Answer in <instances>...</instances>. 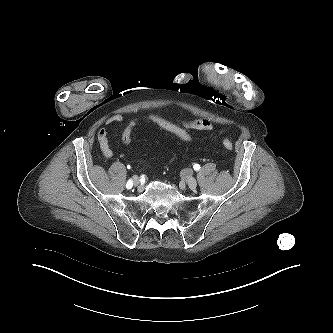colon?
<instances>
[{
    "label": "colon",
    "instance_id": "obj_1",
    "mask_svg": "<svg viewBox=\"0 0 333 333\" xmlns=\"http://www.w3.org/2000/svg\"><path fill=\"white\" fill-rule=\"evenodd\" d=\"M142 123H152L160 128L176 135L179 137L181 140L190 142L192 141L191 135L180 125L175 124L164 117L157 115V114H144L137 116L135 118H132L129 120L126 124V126L123 129L122 132V141L125 144H130L133 138V133L136 127ZM223 145L226 149L232 150L233 149V144L230 140L224 139L223 140Z\"/></svg>",
    "mask_w": 333,
    "mask_h": 333
}]
</instances>
